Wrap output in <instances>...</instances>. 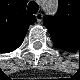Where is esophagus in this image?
<instances>
[{"mask_svg": "<svg viewBox=\"0 0 80 80\" xmlns=\"http://www.w3.org/2000/svg\"><path fill=\"white\" fill-rule=\"evenodd\" d=\"M35 16H36L37 22H41L43 14L42 13H37Z\"/></svg>", "mask_w": 80, "mask_h": 80, "instance_id": "esophagus-1", "label": "esophagus"}]
</instances>
